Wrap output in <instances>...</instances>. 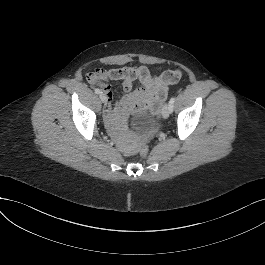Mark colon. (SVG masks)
<instances>
[{
	"instance_id": "colon-1",
	"label": "colon",
	"mask_w": 265,
	"mask_h": 265,
	"mask_svg": "<svg viewBox=\"0 0 265 265\" xmlns=\"http://www.w3.org/2000/svg\"><path fill=\"white\" fill-rule=\"evenodd\" d=\"M102 76H103V71L101 69H95L94 71H92L88 74V79L89 80L100 79V78H102ZM148 151H149V149H148V146L146 144H142L139 147V154L142 158L147 157Z\"/></svg>"
}]
</instances>
